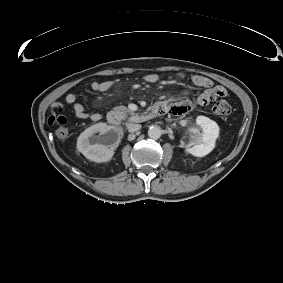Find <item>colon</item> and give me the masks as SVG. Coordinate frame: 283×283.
Instances as JSON below:
<instances>
[{"mask_svg":"<svg viewBox=\"0 0 283 283\" xmlns=\"http://www.w3.org/2000/svg\"><path fill=\"white\" fill-rule=\"evenodd\" d=\"M212 111L217 116H227L231 112V106L227 101L219 100L213 105ZM58 122H60V121H58ZM60 123L62 125L59 128L56 129L55 134H56V137L59 140L63 141V140H66L68 138L69 129L64 125L66 123V120H63Z\"/></svg>","mask_w":283,"mask_h":283,"instance_id":"obj_1","label":"colon"}]
</instances>
